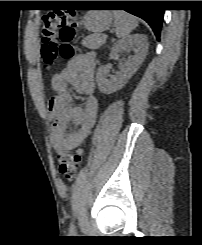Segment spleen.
Masks as SVG:
<instances>
[{
  "label": "spleen",
  "mask_w": 202,
  "mask_h": 245,
  "mask_svg": "<svg viewBox=\"0 0 202 245\" xmlns=\"http://www.w3.org/2000/svg\"><path fill=\"white\" fill-rule=\"evenodd\" d=\"M115 18V33L118 38H126L137 26L138 22L131 14L125 11H113Z\"/></svg>",
  "instance_id": "spleen-1"
}]
</instances>
